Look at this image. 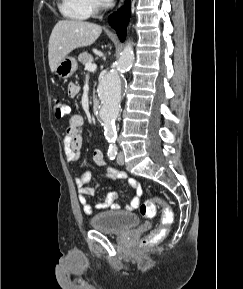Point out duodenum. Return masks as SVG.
<instances>
[{
    "label": "duodenum",
    "mask_w": 243,
    "mask_h": 289,
    "mask_svg": "<svg viewBox=\"0 0 243 289\" xmlns=\"http://www.w3.org/2000/svg\"><path fill=\"white\" fill-rule=\"evenodd\" d=\"M100 109V102L97 99H94L92 102V111L94 114H98Z\"/></svg>",
    "instance_id": "obj_1"
}]
</instances>
